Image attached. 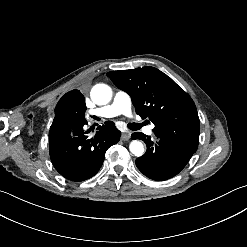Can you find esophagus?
I'll use <instances>...</instances> for the list:
<instances>
[{
	"label": "esophagus",
	"instance_id": "esophagus-1",
	"mask_svg": "<svg viewBox=\"0 0 247 247\" xmlns=\"http://www.w3.org/2000/svg\"><path fill=\"white\" fill-rule=\"evenodd\" d=\"M129 138H130V133H129V132H124V133H122L121 139H122L123 141H127Z\"/></svg>",
	"mask_w": 247,
	"mask_h": 247
}]
</instances>
